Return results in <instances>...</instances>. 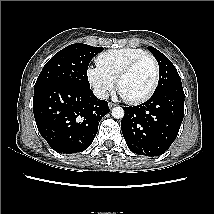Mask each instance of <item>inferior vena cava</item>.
I'll return each mask as SVG.
<instances>
[{"instance_id":"inferior-vena-cava-1","label":"inferior vena cava","mask_w":214,"mask_h":214,"mask_svg":"<svg viewBox=\"0 0 214 214\" xmlns=\"http://www.w3.org/2000/svg\"><path fill=\"white\" fill-rule=\"evenodd\" d=\"M93 93L94 95L99 98V99H103L106 100L109 98V94L106 90L102 89V88H94L93 89Z\"/></svg>"}]
</instances>
